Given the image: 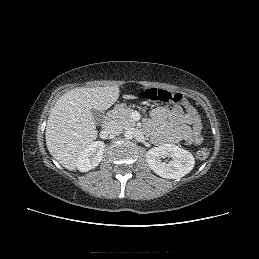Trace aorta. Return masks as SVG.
<instances>
[{
    "instance_id": "aorta-1",
    "label": "aorta",
    "mask_w": 259,
    "mask_h": 259,
    "mask_svg": "<svg viewBox=\"0 0 259 259\" xmlns=\"http://www.w3.org/2000/svg\"><path fill=\"white\" fill-rule=\"evenodd\" d=\"M126 139H132L134 137V132L131 129H128L124 133Z\"/></svg>"
}]
</instances>
